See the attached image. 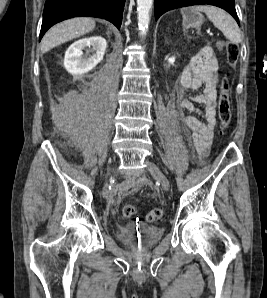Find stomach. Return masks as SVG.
I'll use <instances>...</instances> for the list:
<instances>
[{
  "instance_id": "1",
  "label": "stomach",
  "mask_w": 267,
  "mask_h": 298,
  "mask_svg": "<svg viewBox=\"0 0 267 298\" xmlns=\"http://www.w3.org/2000/svg\"><path fill=\"white\" fill-rule=\"evenodd\" d=\"M181 14H182V26L184 27V29H188V28H200L203 21H204V17L203 15L199 12V11H194L192 10V8H183L181 10Z\"/></svg>"
}]
</instances>
